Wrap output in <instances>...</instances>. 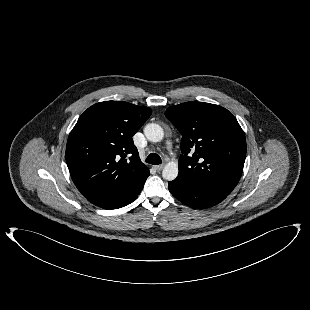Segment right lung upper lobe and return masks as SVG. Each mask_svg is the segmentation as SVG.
<instances>
[{"label": "right lung upper lobe", "instance_id": "cb5924a9", "mask_svg": "<svg viewBox=\"0 0 310 310\" xmlns=\"http://www.w3.org/2000/svg\"><path fill=\"white\" fill-rule=\"evenodd\" d=\"M151 113L148 107L105 101L78 119L68 137L66 162L74 184L94 205L125 200L144 185L150 173L132 136Z\"/></svg>", "mask_w": 310, "mask_h": 310}]
</instances>
